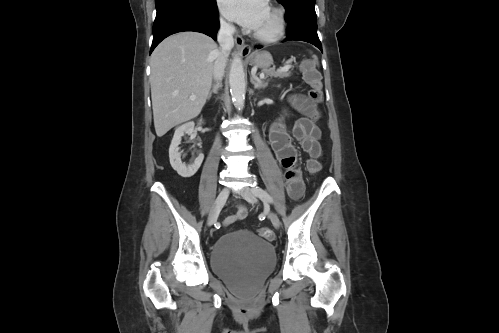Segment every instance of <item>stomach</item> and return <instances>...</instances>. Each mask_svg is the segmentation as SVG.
I'll use <instances>...</instances> for the list:
<instances>
[{"label": "stomach", "mask_w": 499, "mask_h": 333, "mask_svg": "<svg viewBox=\"0 0 499 333\" xmlns=\"http://www.w3.org/2000/svg\"><path fill=\"white\" fill-rule=\"evenodd\" d=\"M251 65L261 69H268L273 64L272 55L268 51H258L249 57Z\"/></svg>", "instance_id": "obj_1"}]
</instances>
